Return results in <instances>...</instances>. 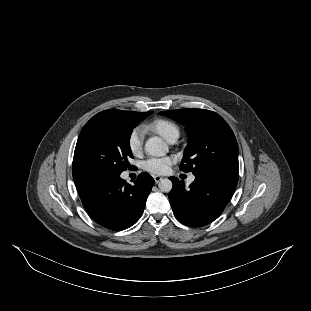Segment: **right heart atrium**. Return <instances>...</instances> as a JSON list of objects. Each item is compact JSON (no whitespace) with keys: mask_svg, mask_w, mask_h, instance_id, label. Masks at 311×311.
<instances>
[{"mask_svg":"<svg viewBox=\"0 0 311 311\" xmlns=\"http://www.w3.org/2000/svg\"><path fill=\"white\" fill-rule=\"evenodd\" d=\"M144 136L145 128L143 126L138 125L131 129L127 136V147L131 154L139 155L141 153Z\"/></svg>","mask_w":311,"mask_h":311,"instance_id":"obj_1","label":"right heart atrium"}]
</instances>
